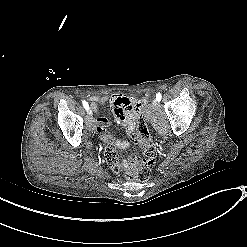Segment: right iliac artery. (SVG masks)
Segmentation results:
<instances>
[{
  "mask_svg": "<svg viewBox=\"0 0 247 247\" xmlns=\"http://www.w3.org/2000/svg\"><path fill=\"white\" fill-rule=\"evenodd\" d=\"M82 103H83V107H84L86 110H88V108H89L88 103H87L85 100H83Z\"/></svg>",
  "mask_w": 247,
  "mask_h": 247,
  "instance_id": "obj_1",
  "label": "right iliac artery"
}]
</instances>
